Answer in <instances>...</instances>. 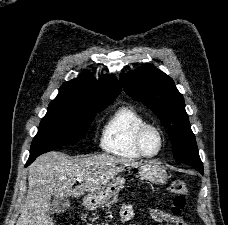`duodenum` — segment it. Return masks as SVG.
<instances>
[{
	"mask_svg": "<svg viewBox=\"0 0 228 225\" xmlns=\"http://www.w3.org/2000/svg\"><path fill=\"white\" fill-rule=\"evenodd\" d=\"M92 201V196H89L87 198H85L83 201H81L79 203V208H83V207H86L88 204H90Z\"/></svg>",
	"mask_w": 228,
	"mask_h": 225,
	"instance_id": "duodenum-1",
	"label": "duodenum"
}]
</instances>
